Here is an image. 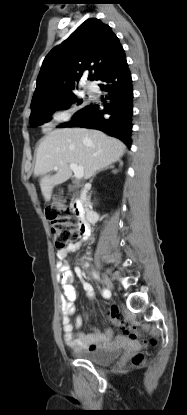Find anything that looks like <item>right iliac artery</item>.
I'll return each mask as SVG.
<instances>
[{"instance_id": "right-iliac-artery-1", "label": "right iliac artery", "mask_w": 187, "mask_h": 415, "mask_svg": "<svg viewBox=\"0 0 187 415\" xmlns=\"http://www.w3.org/2000/svg\"><path fill=\"white\" fill-rule=\"evenodd\" d=\"M94 277L98 279V275L94 273ZM102 295L104 298H109L111 296V293L109 290L104 289L102 292Z\"/></svg>"}]
</instances>
